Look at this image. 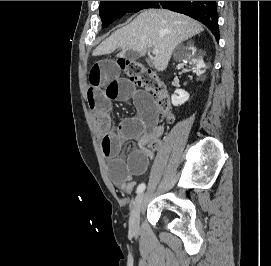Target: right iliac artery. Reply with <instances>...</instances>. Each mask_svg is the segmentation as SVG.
<instances>
[{
	"mask_svg": "<svg viewBox=\"0 0 271 266\" xmlns=\"http://www.w3.org/2000/svg\"><path fill=\"white\" fill-rule=\"evenodd\" d=\"M144 189H145V184H144V183H141V184H139V186L137 187L136 193H137V194H140V193H142V192L144 191Z\"/></svg>",
	"mask_w": 271,
	"mask_h": 266,
	"instance_id": "1",
	"label": "right iliac artery"
}]
</instances>
